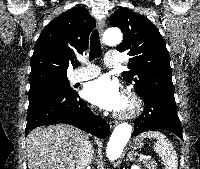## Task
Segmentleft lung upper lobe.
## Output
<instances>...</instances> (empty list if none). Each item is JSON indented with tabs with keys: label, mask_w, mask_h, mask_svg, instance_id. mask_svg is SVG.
Masks as SVG:
<instances>
[{
	"label": "left lung upper lobe",
	"mask_w": 200,
	"mask_h": 169,
	"mask_svg": "<svg viewBox=\"0 0 200 169\" xmlns=\"http://www.w3.org/2000/svg\"><path fill=\"white\" fill-rule=\"evenodd\" d=\"M110 24L124 33L116 49L128 51L130 56V70L122 73L124 80L134 85L140 97L149 91L174 94L169 54L156 26L147 17L126 8L116 10Z\"/></svg>",
	"instance_id": "obj_1"
}]
</instances>
